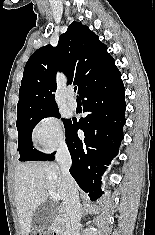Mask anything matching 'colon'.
<instances>
[{"label":"colon","instance_id":"colon-1","mask_svg":"<svg viewBox=\"0 0 155 235\" xmlns=\"http://www.w3.org/2000/svg\"><path fill=\"white\" fill-rule=\"evenodd\" d=\"M30 235H46L44 232L34 231Z\"/></svg>","mask_w":155,"mask_h":235}]
</instances>
